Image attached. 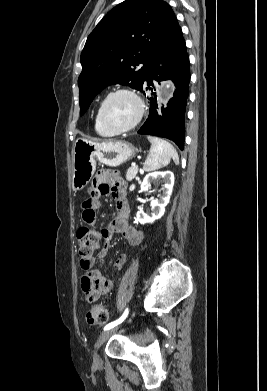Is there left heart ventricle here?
Returning <instances> with one entry per match:
<instances>
[{"instance_id":"obj_1","label":"left heart ventricle","mask_w":267,"mask_h":391,"mask_svg":"<svg viewBox=\"0 0 267 391\" xmlns=\"http://www.w3.org/2000/svg\"><path fill=\"white\" fill-rule=\"evenodd\" d=\"M137 112V103L127 94L113 96L104 109L107 122L114 127L128 126L135 119Z\"/></svg>"}]
</instances>
